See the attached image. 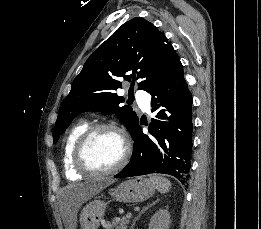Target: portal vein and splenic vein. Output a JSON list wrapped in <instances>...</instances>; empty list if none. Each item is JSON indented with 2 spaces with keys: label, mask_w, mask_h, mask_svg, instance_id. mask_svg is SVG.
I'll return each mask as SVG.
<instances>
[{
  "label": "portal vein and splenic vein",
  "mask_w": 261,
  "mask_h": 229,
  "mask_svg": "<svg viewBox=\"0 0 261 229\" xmlns=\"http://www.w3.org/2000/svg\"><path fill=\"white\" fill-rule=\"evenodd\" d=\"M126 217H128V219H130L131 213H128V215H126Z\"/></svg>",
  "instance_id": "18ae733b"
}]
</instances>
